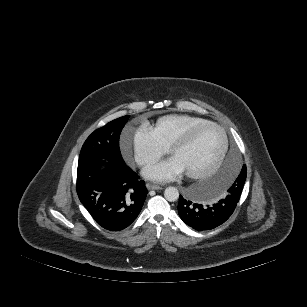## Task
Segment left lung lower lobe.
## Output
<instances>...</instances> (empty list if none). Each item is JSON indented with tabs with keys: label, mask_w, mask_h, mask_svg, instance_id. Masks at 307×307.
I'll use <instances>...</instances> for the list:
<instances>
[{
	"label": "left lung lower lobe",
	"mask_w": 307,
	"mask_h": 307,
	"mask_svg": "<svg viewBox=\"0 0 307 307\" xmlns=\"http://www.w3.org/2000/svg\"><path fill=\"white\" fill-rule=\"evenodd\" d=\"M239 199L240 196L228 193L217 203L204 206L180 195L178 213L183 222L191 228L197 231L211 230L224 223L232 215Z\"/></svg>",
	"instance_id": "1"
}]
</instances>
